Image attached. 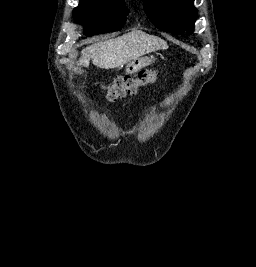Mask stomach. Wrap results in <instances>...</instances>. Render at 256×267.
<instances>
[{
  "mask_svg": "<svg viewBox=\"0 0 256 267\" xmlns=\"http://www.w3.org/2000/svg\"><path fill=\"white\" fill-rule=\"evenodd\" d=\"M136 67H155V62H136Z\"/></svg>",
  "mask_w": 256,
  "mask_h": 267,
  "instance_id": "1",
  "label": "stomach"
}]
</instances>
